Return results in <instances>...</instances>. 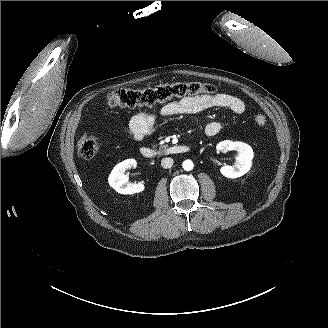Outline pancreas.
Listing matches in <instances>:
<instances>
[{"instance_id":"cf45deb5","label":"pancreas","mask_w":328,"mask_h":328,"mask_svg":"<svg viewBox=\"0 0 328 328\" xmlns=\"http://www.w3.org/2000/svg\"><path fill=\"white\" fill-rule=\"evenodd\" d=\"M167 148H169V145H162L160 146V150H166Z\"/></svg>"}]
</instances>
